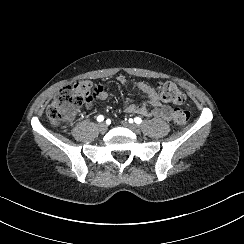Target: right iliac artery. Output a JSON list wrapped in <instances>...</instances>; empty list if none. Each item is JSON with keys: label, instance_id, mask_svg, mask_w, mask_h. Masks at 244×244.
<instances>
[{"label": "right iliac artery", "instance_id": "1", "mask_svg": "<svg viewBox=\"0 0 244 244\" xmlns=\"http://www.w3.org/2000/svg\"><path fill=\"white\" fill-rule=\"evenodd\" d=\"M104 120V117L102 116V115H99L98 117H97V121L98 122H101V121H103Z\"/></svg>", "mask_w": 244, "mask_h": 244}]
</instances>
